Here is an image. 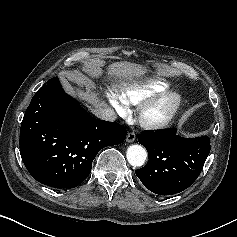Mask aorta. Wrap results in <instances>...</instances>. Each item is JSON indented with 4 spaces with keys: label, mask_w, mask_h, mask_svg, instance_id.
Here are the masks:
<instances>
[{
    "label": "aorta",
    "mask_w": 237,
    "mask_h": 237,
    "mask_svg": "<svg viewBox=\"0 0 237 237\" xmlns=\"http://www.w3.org/2000/svg\"><path fill=\"white\" fill-rule=\"evenodd\" d=\"M147 158V151L140 145H131L127 149V160L134 167H141Z\"/></svg>",
    "instance_id": "1"
}]
</instances>
